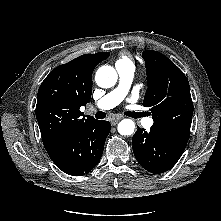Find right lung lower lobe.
Masks as SVG:
<instances>
[{
    "label": "right lung lower lobe",
    "mask_w": 221,
    "mask_h": 221,
    "mask_svg": "<svg viewBox=\"0 0 221 221\" xmlns=\"http://www.w3.org/2000/svg\"><path fill=\"white\" fill-rule=\"evenodd\" d=\"M110 127L108 121L94 120L47 149L48 155L63 172L84 175L100 161Z\"/></svg>",
    "instance_id": "obj_1"
}]
</instances>
